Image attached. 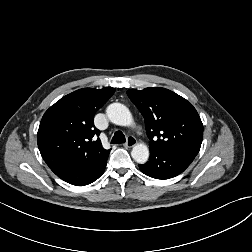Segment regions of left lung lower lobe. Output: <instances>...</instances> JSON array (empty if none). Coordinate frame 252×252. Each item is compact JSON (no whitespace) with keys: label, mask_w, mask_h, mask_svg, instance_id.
<instances>
[{"label":"left lung lower lobe","mask_w":252,"mask_h":252,"mask_svg":"<svg viewBox=\"0 0 252 252\" xmlns=\"http://www.w3.org/2000/svg\"><path fill=\"white\" fill-rule=\"evenodd\" d=\"M195 156L184 152L150 153L149 161L139 164L140 170L155 179H169L182 173Z\"/></svg>","instance_id":"1"}]
</instances>
